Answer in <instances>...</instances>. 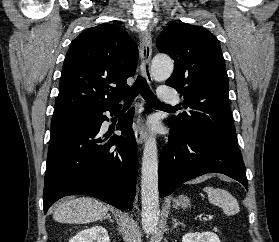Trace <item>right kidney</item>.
<instances>
[{"mask_svg":"<svg viewBox=\"0 0 279 242\" xmlns=\"http://www.w3.org/2000/svg\"><path fill=\"white\" fill-rule=\"evenodd\" d=\"M69 242H110V238L104 227L94 225L78 232Z\"/></svg>","mask_w":279,"mask_h":242,"instance_id":"ca27d5eb","label":"right kidney"}]
</instances>
